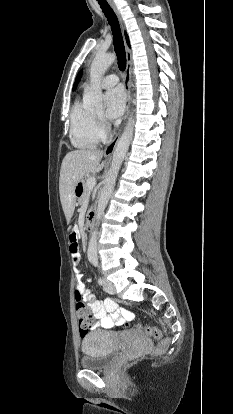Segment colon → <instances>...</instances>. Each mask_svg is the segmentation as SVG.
I'll return each mask as SVG.
<instances>
[{"instance_id":"1","label":"colon","mask_w":233,"mask_h":414,"mask_svg":"<svg viewBox=\"0 0 233 414\" xmlns=\"http://www.w3.org/2000/svg\"><path fill=\"white\" fill-rule=\"evenodd\" d=\"M77 227L75 224H71L68 227L67 236H68V243L69 249L72 253L73 251H78V240L79 235H77ZM75 298H76V316L78 320V326L81 336H85L87 332L93 328L94 326V317L89 309V305L85 300L82 294H77L75 291ZM126 326L128 327L129 324L127 323ZM135 327L145 333L146 335L152 337L153 339L159 340L162 337V333L159 328L154 326L142 325L137 324Z\"/></svg>"}]
</instances>
